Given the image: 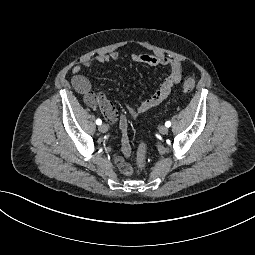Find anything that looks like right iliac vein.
<instances>
[{"label":"right iliac vein","instance_id":"right-iliac-vein-1","mask_svg":"<svg viewBox=\"0 0 255 255\" xmlns=\"http://www.w3.org/2000/svg\"><path fill=\"white\" fill-rule=\"evenodd\" d=\"M98 129L100 132L106 133L108 131V126L106 124H101Z\"/></svg>","mask_w":255,"mask_h":255}]
</instances>
